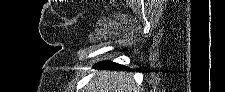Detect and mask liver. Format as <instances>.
I'll return each mask as SVG.
<instances>
[{"mask_svg": "<svg viewBox=\"0 0 225 92\" xmlns=\"http://www.w3.org/2000/svg\"><path fill=\"white\" fill-rule=\"evenodd\" d=\"M131 73L100 72L88 84V92H137Z\"/></svg>", "mask_w": 225, "mask_h": 92, "instance_id": "obj_1", "label": "liver"}]
</instances>
